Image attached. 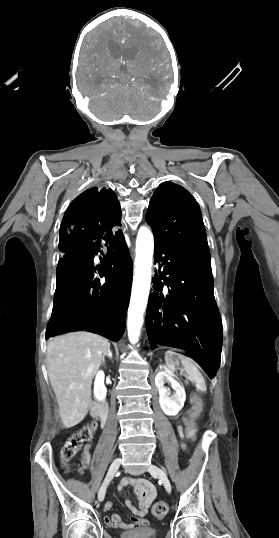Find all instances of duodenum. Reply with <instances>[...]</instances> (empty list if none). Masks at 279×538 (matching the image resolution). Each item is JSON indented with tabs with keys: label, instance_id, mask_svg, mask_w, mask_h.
<instances>
[{
	"label": "duodenum",
	"instance_id": "obj_1",
	"mask_svg": "<svg viewBox=\"0 0 279 538\" xmlns=\"http://www.w3.org/2000/svg\"><path fill=\"white\" fill-rule=\"evenodd\" d=\"M106 406H108V401H103L102 399H98V402L97 399H94V402L90 404V411L92 413V418L95 419V422H98V413L101 414L102 418H100V422L97 423V428L99 429L106 428L108 417Z\"/></svg>",
	"mask_w": 279,
	"mask_h": 538
}]
</instances>
